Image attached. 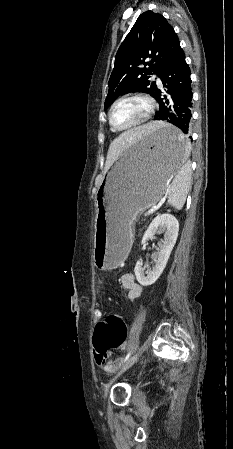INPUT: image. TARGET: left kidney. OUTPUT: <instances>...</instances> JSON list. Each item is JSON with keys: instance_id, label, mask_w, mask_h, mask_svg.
Listing matches in <instances>:
<instances>
[{"instance_id": "1", "label": "left kidney", "mask_w": 233, "mask_h": 449, "mask_svg": "<svg viewBox=\"0 0 233 449\" xmlns=\"http://www.w3.org/2000/svg\"><path fill=\"white\" fill-rule=\"evenodd\" d=\"M178 231V220L171 214H159L152 220L142 238L141 243L143 245V248H145L147 241L153 238L156 233H164V240L159 245V251L155 255V266L152 269L148 270L145 273L144 268H142L141 261L139 260L136 263L134 270L135 276L137 281L142 286H149L154 284L162 274L163 270L166 267L171 251L176 243Z\"/></svg>"}]
</instances>
